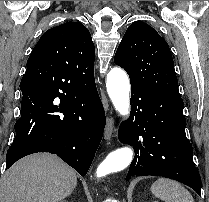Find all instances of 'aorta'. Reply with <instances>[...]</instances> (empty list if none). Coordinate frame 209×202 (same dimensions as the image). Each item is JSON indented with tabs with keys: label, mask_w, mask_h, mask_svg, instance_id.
Wrapping results in <instances>:
<instances>
[{
	"label": "aorta",
	"mask_w": 209,
	"mask_h": 202,
	"mask_svg": "<svg viewBox=\"0 0 209 202\" xmlns=\"http://www.w3.org/2000/svg\"><path fill=\"white\" fill-rule=\"evenodd\" d=\"M106 88L116 111L122 117H126L130 110V83L126 72L118 67L112 68L107 75ZM132 159L133 150L130 147L116 149L100 163L96 177L101 178L121 171L131 163Z\"/></svg>",
	"instance_id": "obj_1"
}]
</instances>
